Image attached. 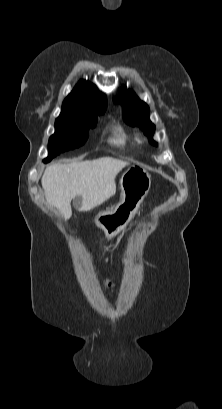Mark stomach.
<instances>
[{"label":"stomach","instance_id":"stomach-1","mask_svg":"<svg viewBox=\"0 0 222 409\" xmlns=\"http://www.w3.org/2000/svg\"><path fill=\"white\" fill-rule=\"evenodd\" d=\"M150 187L151 177L145 169L129 167L120 179L121 201L112 212L101 214L97 224L108 234L121 230L136 214Z\"/></svg>","mask_w":222,"mask_h":409}]
</instances>
